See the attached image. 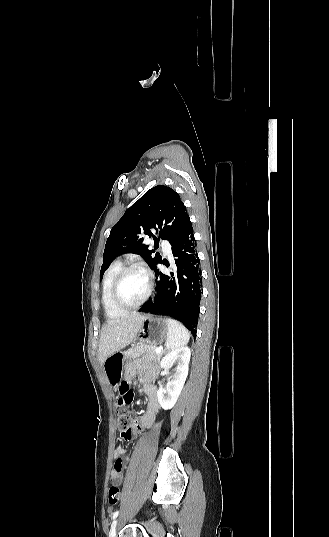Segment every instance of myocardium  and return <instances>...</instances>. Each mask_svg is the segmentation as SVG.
I'll return each mask as SVG.
<instances>
[{
  "label": "myocardium",
  "mask_w": 329,
  "mask_h": 537,
  "mask_svg": "<svg viewBox=\"0 0 329 537\" xmlns=\"http://www.w3.org/2000/svg\"><path fill=\"white\" fill-rule=\"evenodd\" d=\"M135 270H138V271H141L143 272L146 277H147V281H148V287H147V290L144 294V296L136 303L134 304H127L125 303L122 299H121V296H120V286H121V283H122V280L124 278V276L131 272V271H135ZM152 290H153V279H152V276L151 274L149 273V271L143 267L142 265L140 264H129V265H126V266H123L120 271L118 272L115 280H114V283H113V289H112V299H113V302L114 304L122 309V310H132V309H136L138 307H140L142 304H144L148 298L150 297L151 293H152Z\"/></svg>",
  "instance_id": "obj_1"
}]
</instances>
